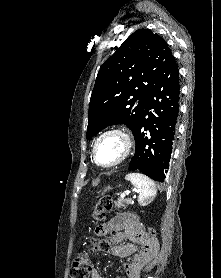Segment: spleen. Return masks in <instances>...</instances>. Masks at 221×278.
Listing matches in <instances>:
<instances>
[{
    "label": "spleen",
    "mask_w": 221,
    "mask_h": 278,
    "mask_svg": "<svg viewBox=\"0 0 221 278\" xmlns=\"http://www.w3.org/2000/svg\"><path fill=\"white\" fill-rule=\"evenodd\" d=\"M126 180L139 189L138 202L140 205H146L157 194L154 182L141 173H129L126 175Z\"/></svg>",
    "instance_id": "obj_1"
}]
</instances>
